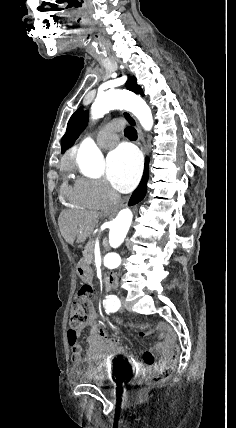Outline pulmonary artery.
I'll return each mask as SVG.
<instances>
[{
	"label": "pulmonary artery",
	"mask_w": 236,
	"mask_h": 428,
	"mask_svg": "<svg viewBox=\"0 0 236 428\" xmlns=\"http://www.w3.org/2000/svg\"><path fill=\"white\" fill-rule=\"evenodd\" d=\"M112 135L114 136V139H118V136H117V134L116 133H112ZM115 146V143L114 144H111V143H108V142H102L101 144H100V147L101 148H103V149H111V148H113Z\"/></svg>",
	"instance_id": "e3ab8cb5"
}]
</instances>
